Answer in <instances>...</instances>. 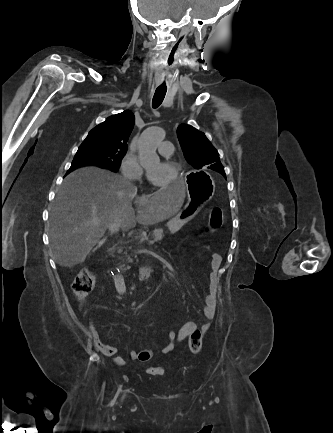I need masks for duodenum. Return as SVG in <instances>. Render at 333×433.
Returning <instances> with one entry per match:
<instances>
[{"instance_id":"1","label":"duodenum","mask_w":333,"mask_h":433,"mask_svg":"<svg viewBox=\"0 0 333 433\" xmlns=\"http://www.w3.org/2000/svg\"><path fill=\"white\" fill-rule=\"evenodd\" d=\"M155 267H156V264L153 263V264L145 265V266L138 268L137 272H136V277L139 280L148 279L151 276L152 272L154 271Z\"/></svg>"}]
</instances>
